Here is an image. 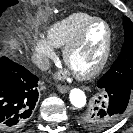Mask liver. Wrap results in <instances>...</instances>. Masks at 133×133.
<instances>
[{"instance_id": "obj_1", "label": "liver", "mask_w": 133, "mask_h": 133, "mask_svg": "<svg viewBox=\"0 0 133 133\" xmlns=\"http://www.w3.org/2000/svg\"><path fill=\"white\" fill-rule=\"evenodd\" d=\"M17 48H18V43L15 38L5 41V53H7L8 51L13 52Z\"/></svg>"}]
</instances>
